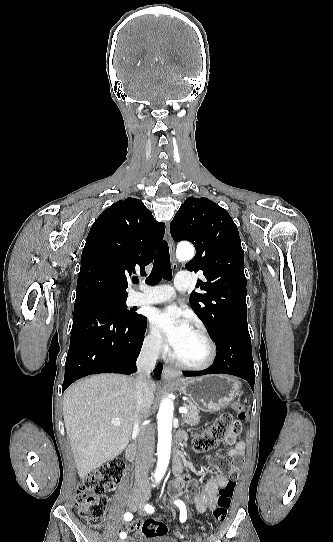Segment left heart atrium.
<instances>
[{
  "label": "left heart atrium",
  "instance_id": "39dd6f15",
  "mask_svg": "<svg viewBox=\"0 0 333 542\" xmlns=\"http://www.w3.org/2000/svg\"><path fill=\"white\" fill-rule=\"evenodd\" d=\"M154 323L170 350L175 349L181 339L192 330L190 318L176 306H169L158 312Z\"/></svg>",
  "mask_w": 333,
  "mask_h": 542
}]
</instances>
